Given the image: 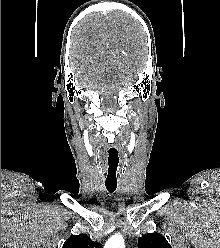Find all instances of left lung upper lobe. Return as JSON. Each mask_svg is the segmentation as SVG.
Returning <instances> with one entry per match:
<instances>
[{"label":"left lung upper lobe","mask_w":220,"mask_h":248,"mask_svg":"<svg viewBox=\"0 0 220 248\" xmlns=\"http://www.w3.org/2000/svg\"><path fill=\"white\" fill-rule=\"evenodd\" d=\"M140 248H171L167 240L157 233H148L138 239Z\"/></svg>","instance_id":"obj_1"}]
</instances>
